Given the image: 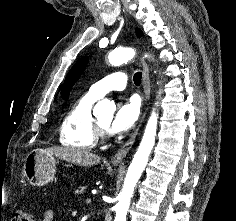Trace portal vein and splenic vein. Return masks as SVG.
I'll use <instances>...</instances> for the list:
<instances>
[{
  "label": "portal vein and splenic vein",
  "mask_w": 236,
  "mask_h": 221,
  "mask_svg": "<svg viewBox=\"0 0 236 221\" xmlns=\"http://www.w3.org/2000/svg\"><path fill=\"white\" fill-rule=\"evenodd\" d=\"M86 203H91V199H90V198H87V199H86Z\"/></svg>",
  "instance_id": "1"
}]
</instances>
